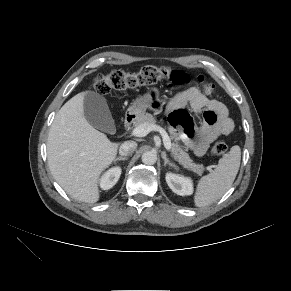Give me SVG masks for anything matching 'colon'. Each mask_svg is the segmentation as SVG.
I'll return each mask as SVG.
<instances>
[{"mask_svg":"<svg viewBox=\"0 0 291 291\" xmlns=\"http://www.w3.org/2000/svg\"><path fill=\"white\" fill-rule=\"evenodd\" d=\"M161 81L183 84L188 82V77L182 72L167 67L145 66L137 72L115 70L108 74H100L94 79L93 86L97 93L106 95L111 91L149 86ZM197 85L207 95H213L216 92L215 86L206 82L201 76L197 78ZM226 151L227 145L222 141L216 142L211 148L214 156H222Z\"/></svg>","mask_w":291,"mask_h":291,"instance_id":"1","label":"colon"}]
</instances>
